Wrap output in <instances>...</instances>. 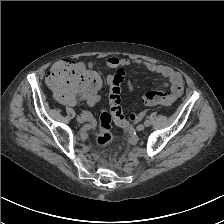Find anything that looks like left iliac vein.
Segmentation results:
<instances>
[{
  "label": "left iliac vein",
  "instance_id": "4c4485c4",
  "mask_svg": "<svg viewBox=\"0 0 224 224\" xmlns=\"http://www.w3.org/2000/svg\"><path fill=\"white\" fill-rule=\"evenodd\" d=\"M144 128H145V126H144L143 124H139V125L136 127V129H137L138 132L143 131Z\"/></svg>",
  "mask_w": 224,
  "mask_h": 224
}]
</instances>
